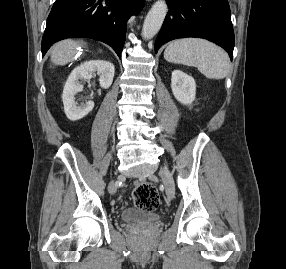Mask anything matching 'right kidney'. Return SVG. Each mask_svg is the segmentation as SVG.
Instances as JSON below:
<instances>
[{"label": "right kidney", "instance_id": "right-kidney-1", "mask_svg": "<svg viewBox=\"0 0 286 269\" xmlns=\"http://www.w3.org/2000/svg\"><path fill=\"white\" fill-rule=\"evenodd\" d=\"M100 75V86L108 89L114 77V65L108 61H89L75 68L68 77L64 86L62 100L64 104V112L68 119L76 121L85 117L94 108L93 101H86L84 104L77 105L75 95L82 91L83 87L79 80H90L93 73Z\"/></svg>", "mask_w": 286, "mask_h": 269}]
</instances>
